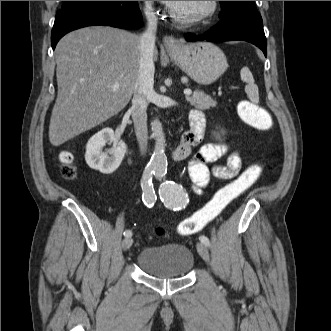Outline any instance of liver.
<instances>
[{"label":"liver","mask_w":331,"mask_h":331,"mask_svg":"<svg viewBox=\"0 0 331 331\" xmlns=\"http://www.w3.org/2000/svg\"><path fill=\"white\" fill-rule=\"evenodd\" d=\"M140 53L139 35L112 27L82 28L61 38L55 49L58 94L49 124L53 146L103 123L129 103ZM116 83L119 88L113 90Z\"/></svg>","instance_id":"6515ba94"}]
</instances>
